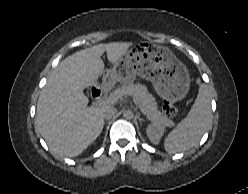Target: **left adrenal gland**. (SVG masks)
Listing matches in <instances>:
<instances>
[{"mask_svg": "<svg viewBox=\"0 0 248 194\" xmlns=\"http://www.w3.org/2000/svg\"><path fill=\"white\" fill-rule=\"evenodd\" d=\"M138 119H139V121H140V124H141L142 121H144L143 118H140V117H139Z\"/></svg>", "mask_w": 248, "mask_h": 194, "instance_id": "obj_1", "label": "left adrenal gland"}]
</instances>
